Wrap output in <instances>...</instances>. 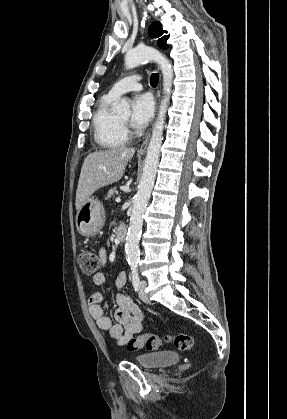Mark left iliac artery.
<instances>
[{
	"label": "left iliac artery",
	"instance_id": "44dca946",
	"mask_svg": "<svg viewBox=\"0 0 287 419\" xmlns=\"http://www.w3.org/2000/svg\"><path fill=\"white\" fill-rule=\"evenodd\" d=\"M132 285H133L135 291L139 290L140 278H139V274H138L137 270L132 271Z\"/></svg>",
	"mask_w": 287,
	"mask_h": 419
}]
</instances>
